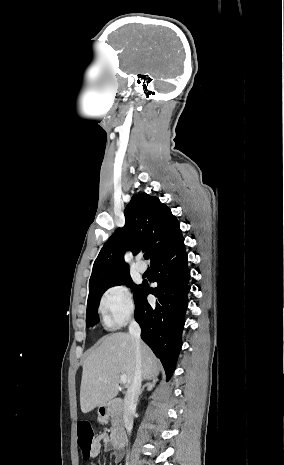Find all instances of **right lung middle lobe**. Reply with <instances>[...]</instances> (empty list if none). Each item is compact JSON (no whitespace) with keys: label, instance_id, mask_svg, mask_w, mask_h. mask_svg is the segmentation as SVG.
I'll use <instances>...</instances> for the list:
<instances>
[{"label":"right lung middle lobe","instance_id":"obj_1","mask_svg":"<svg viewBox=\"0 0 284 465\" xmlns=\"http://www.w3.org/2000/svg\"><path fill=\"white\" fill-rule=\"evenodd\" d=\"M132 280L130 276L120 278L110 284H108L105 287H102L88 296V301H87V311H86V325L87 326H93L94 324H97L99 322V317H98V306H99V301L102 296V294L110 287L116 286V285H128L131 289L134 290V293L138 290L140 285H132Z\"/></svg>","mask_w":284,"mask_h":465}]
</instances>
